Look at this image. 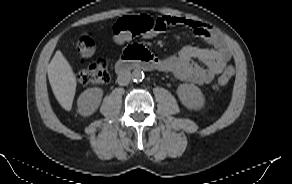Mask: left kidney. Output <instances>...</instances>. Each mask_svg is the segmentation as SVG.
Returning a JSON list of instances; mask_svg holds the SVG:
<instances>
[{
    "label": "left kidney",
    "instance_id": "5707ae66",
    "mask_svg": "<svg viewBox=\"0 0 292 184\" xmlns=\"http://www.w3.org/2000/svg\"><path fill=\"white\" fill-rule=\"evenodd\" d=\"M177 95L182 104L188 109L199 110L205 104V98L201 90L193 84H180Z\"/></svg>",
    "mask_w": 292,
    "mask_h": 184
}]
</instances>
